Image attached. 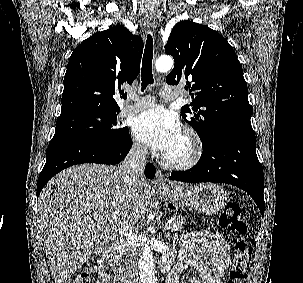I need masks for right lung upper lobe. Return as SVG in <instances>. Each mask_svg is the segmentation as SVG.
Here are the masks:
<instances>
[{
	"mask_svg": "<svg viewBox=\"0 0 303 283\" xmlns=\"http://www.w3.org/2000/svg\"><path fill=\"white\" fill-rule=\"evenodd\" d=\"M141 36L116 25L84 40L71 54L64 77L60 116L86 110L119 111L114 96L140 72Z\"/></svg>",
	"mask_w": 303,
	"mask_h": 283,
	"instance_id": "right-lung-upper-lobe-1",
	"label": "right lung upper lobe"
}]
</instances>
